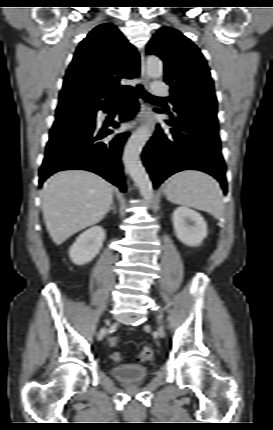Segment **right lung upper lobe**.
I'll list each match as a JSON object with an SVG mask.
<instances>
[{"label":"right lung upper lobe","mask_w":273,"mask_h":430,"mask_svg":"<svg viewBox=\"0 0 273 430\" xmlns=\"http://www.w3.org/2000/svg\"><path fill=\"white\" fill-rule=\"evenodd\" d=\"M139 70L136 49L116 26L101 24L79 43L64 78L58 107L72 100L92 107L114 101L117 89L122 87L120 80L138 77Z\"/></svg>","instance_id":"cb5924a9"}]
</instances>
